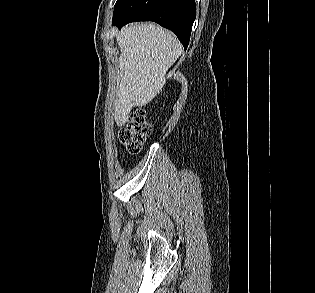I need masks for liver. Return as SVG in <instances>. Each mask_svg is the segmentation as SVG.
Returning a JSON list of instances; mask_svg holds the SVG:
<instances>
[{
	"label": "liver",
	"mask_w": 315,
	"mask_h": 293,
	"mask_svg": "<svg viewBox=\"0 0 315 293\" xmlns=\"http://www.w3.org/2000/svg\"><path fill=\"white\" fill-rule=\"evenodd\" d=\"M116 39L121 54L114 116L116 124L123 126L134 106L148 104L161 91L182 45L173 33L154 23L129 24Z\"/></svg>",
	"instance_id": "obj_1"
}]
</instances>
